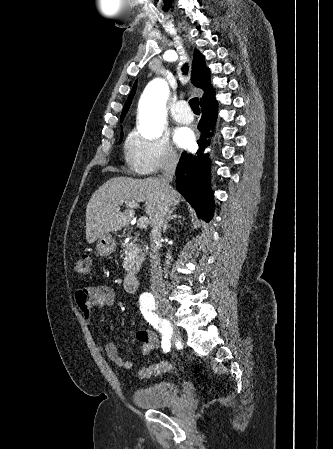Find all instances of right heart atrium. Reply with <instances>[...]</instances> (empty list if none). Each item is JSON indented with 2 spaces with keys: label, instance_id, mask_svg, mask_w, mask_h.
Listing matches in <instances>:
<instances>
[{
  "label": "right heart atrium",
  "instance_id": "obj_1",
  "mask_svg": "<svg viewBox=\"0 0 333 449\" xmlns=\"http://www.w3.org/2000/svg\"><path fill=\"white\" fill-rule=\"evenodd\" d=\"M126 158L140 175H153L172 169L178 162V155L166 137L146 138L139 133L129 137Z\"/></svg>",
  "mask_w": 333,
  "mask_h": 449
}]
</instances>
